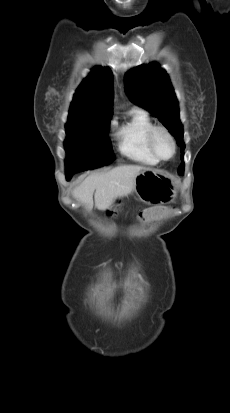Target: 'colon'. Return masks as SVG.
Segmentation results:
<instances>
[{"label":"colon","mask_w":230,"mask_h":413,"mask_svg":"<svg viewBox=\"0 0 230 413\" xmlns=\"http://www.w3.org/2000/svg\"><path fill=\"white\" fill-rule=\"evenodd\" d=\"M115 203L117 204V205H120L121 203H122V200L120 199V198H117L116 200H115ZM106 214L107 215H113L114 214V212L113 211H110V210H107L106 211Z\"/></svg>","instance_id":"obj_1"}]
</instances>
